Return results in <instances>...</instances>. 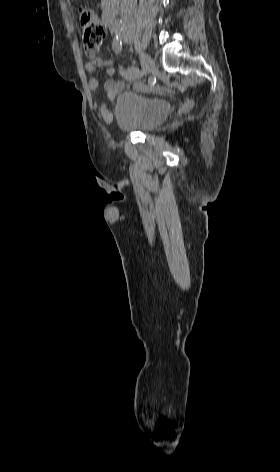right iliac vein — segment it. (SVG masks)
I'll use <instances>...</instances> for the list:
<instances>
[{
    "label": "right iliac vein",
    "instance_id": "right-iliac-vein-1",
    "mask_svg": "<svg viewBox=\"0 0 280 472\" xmlns=\"http://www.w3.org/2000/svg\"><path fill=\"white\" fill-rule=\"evenodd\" d=\"M128 41L130 43L132 42L131 39H129ZM140 62H141V66H142V73L144 75L149 74L152 71V69L154 68V62L148 54L141 53Z\"/></svg>",
    "mask_w": 280,
    "mask_h": 472
}]
</instances>
